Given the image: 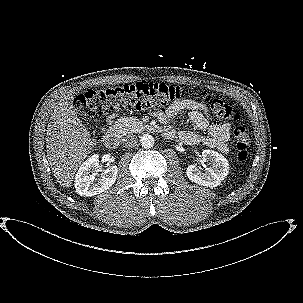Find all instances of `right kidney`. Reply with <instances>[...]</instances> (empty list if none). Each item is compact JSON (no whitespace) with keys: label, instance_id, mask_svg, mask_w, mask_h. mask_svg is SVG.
I'll return each mask as SVG.
<instances>
[{"label":"right kidney","instance_id":"right-kidney-1","mask_svg":"<svg viewBox=\"0 0 303 303\" xmlns=\"http://www.w3.org/2000/svg\"><path fill=\"white\" fill-rule=\"evenodd\" d=\"M99 155L89 157L78 169L75 176V189L81 196L91 197L109 189L116 181L118 168L115 165L105 169L101 177L94 181V172L100 168Z\"/></svg>","mask_w":303,"mask_h":303}]
</instances>
